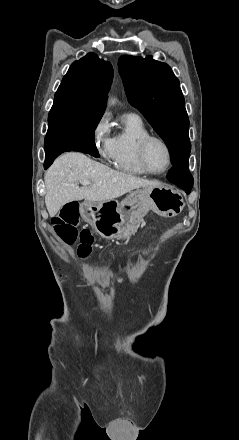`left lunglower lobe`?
Instances as JSON below:
<instances>
[{"instance_id":"obj_1","label":"left lung lower lobe","mask_w":239,"mask_h":440,"mask_svg":"<svg viewBox=\"0 0 239 440\" xmlns=\"http://www.w3.org/2000/svg\"><path fill=\"white\" fill-rule=\"evenodd\" d=\"M167 179L170 182L175 183L177 186L185 190L187 194H189L193 186V177L189 172V162L173 165L167 176Z\"/></svg>"}]
</instances>
